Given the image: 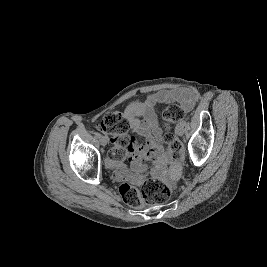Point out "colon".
<instances>
[{"label": "colon", "mask_w": 267, "mask_h": 267, "mask_svg": "<svg viewBox=\"0 0 267 267\" xmlns=\"http://www.w3.org/2000/svg\"><path fill=\"white\" fill-rule=\"evenodd\" d=\"M186 109L177 104L169 105L162 112V125L159 127L167 151L179 159L182 155V143L172 132V126L185 117ZM101 129L110 135L112 147L108 153V158L112 163H120L131 151L132 139L128 135L129 123L118 112H109L105 114L101 123ZM119 192L123 200L130 206H136L141 198L146 202L165 203L172 194L171 186L159 179H150L144 185L140 193L129 183H122Z\"/></svg>", "instance_id": "colon-1"}]
</instances>
